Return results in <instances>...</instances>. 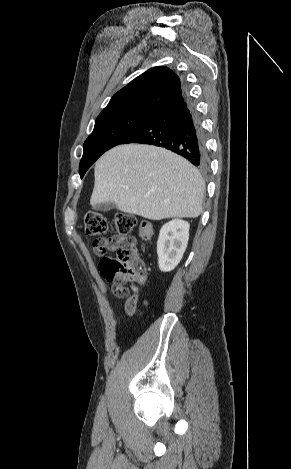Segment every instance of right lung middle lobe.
I'll return each mask as SVG.
<instances>
[{
    "mask_svg": "<svg viewBox=\"0 0 291 469\" xmlns=\"http://www.w3.org/2000/svg\"><path fill=\"white\" fill-rule=\"evenodd\" d=\"M152 114L148 111L127 110L98 116L93 132L84 143V153L79 167L81 177L105 151L118 145Z\"/></svg>",
    "mask_w": 291,
    "mask_h": 469,
    "instance_id": "obj_1",
    "label": "right lung middle lobe"
}]
</instances>
